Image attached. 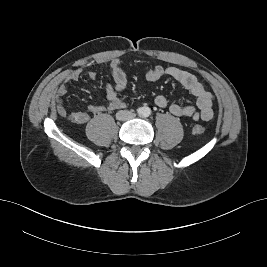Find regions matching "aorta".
<instances>
[{
  "mask_svg": "<svg viewBox=\"0 0 267 267\" xmlns=\"http://www.w3.org/2000/svg\"><path fill=\"white\" fill-rule=\"evenodd\" d=\"M141 114L148 117L151 114V109L149 107H143L141 108Z\"/></svg>",
  "mask_w": 267,
  "mask_h": 267,
  "instance_id": "aorta-1",
  "label": "aorta"
}]
</instances>
